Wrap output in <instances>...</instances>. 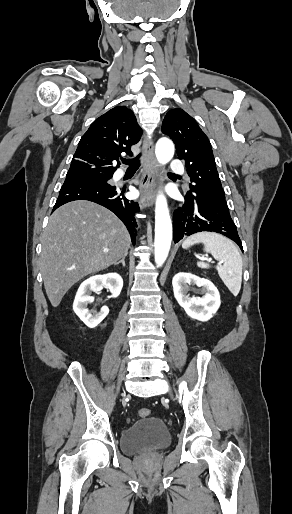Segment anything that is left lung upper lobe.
Returning a JSON list of instances; mask_svg holds the SVG:
<instances>
[{"mask_svg": "<svg viewBox=\"0 0 292 514\" xmlns=\"http://www.w3.org/2000/svg\"><path fill=\"white\" fill-rule=\"evenodd\" d=\"M162 132L173 140L178 158L185 160L191 181L187 194L225 201L210 141L197 122L184 110L172 109L163 120Z\"/></svg>", "mask_w": 292, "mask_h": 514, "instance_id": "5c2ea615", "label": "left lung upper lobe"}]
</instances>
